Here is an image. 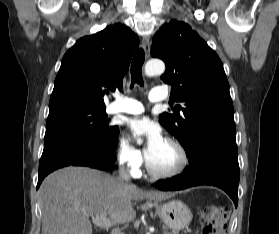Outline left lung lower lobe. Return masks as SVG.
I'll return each instance as SVG.
<instances>
[{
  "label": "left lung lower lobe",
  "instance_id": "0a47b994",
  "mask_svg": "<svg viewBox=\"0 0 279 234\" xmlns=\"http://www.w3.org/2000/svg\"><path fill=\"white\" fill-rule=\"evenodd\" d=\"M240 178L236 133H213L202 138L192 156L189 167L173 178L157 181L163 191L181 190L197 185H214L223 189L238 204Z\"/></svg>",
  "mask_w": 279,
  "mask_h": 234
}]
</instances>
